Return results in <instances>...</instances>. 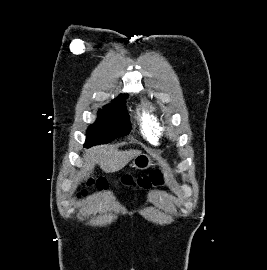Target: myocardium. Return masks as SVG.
<instances>
[{
  "label": "myocardium",
  "instance_id": "myocardium-1",
  "mask_svg": "<svg viewBox=\"0 0 267 270\" xmlns=\"http://www.w3.org/2000/svg\"><path fill=\"white\" fill-rule=\"evenodd\" d=\"M163 128V133L169 137V138H174L176 136V129L173 124L171 123H164L162 125Z\"/></svg>",
  "mask_w": 267,
  "mask_h": 270
}]
</instances>
